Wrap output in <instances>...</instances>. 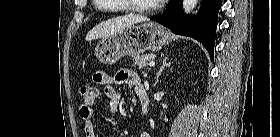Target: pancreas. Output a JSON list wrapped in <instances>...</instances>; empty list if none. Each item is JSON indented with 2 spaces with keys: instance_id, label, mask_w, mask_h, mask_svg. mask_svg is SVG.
<instances>
[{
  "instance_id": "obj_1",
  "label": "pancreas",
  "mask_w": 280,
  "mask_h": 137,
  "mask_svg": "<svg viewBox=\"0 0 280 137\" xmlns=\"http://www.w3.org/2000/svg\"><path fill=\"white\" fill-rule=\"evenodd\" d=\"M155 56L153 54L136 55L132 57L133 66L139 69H144L147 66L148 61L153 60Z\"/></svg>"
}]
</instances>
